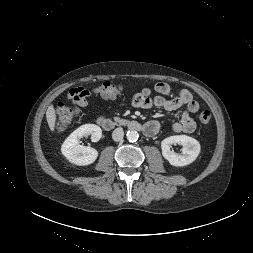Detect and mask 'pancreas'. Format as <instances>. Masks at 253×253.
Wrapping results in <instances>:
<instances>
[{"label":"pancreas","mask_w":253,"mask_h":253,"mask_svg":"<svg viewBox=\"0 0 253 253\" xmlns=\"http://www.w3.org/2000/svg\"><path fill=\"white\" fill-rule=\"evenodd\" d=\"M114 120L119 124H123L125 122V120L121 119L120 117H115Z\"/></svg>","instance_id":"cf45deb5"}]
</instances>
